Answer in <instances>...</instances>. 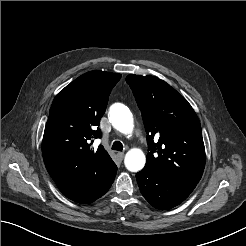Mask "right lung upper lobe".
<instances>
[{
	"mask_svg": "<svg viewBox=\"0 0 246 246\" xmlns=\"http://www.w3.org/2000/svg\"><path fill=\"white\" fill-rule=\"evenodd\" d=\"M120 78L116 73L90 71L55 97L44 131L42 154L56 184L117 167L102 145L91 150L90 141L101 137V130L96 127Z\"/></svg>",
	"mask_w": 246,
	"mask_h": 246,
	"instance_id": "right-lung-upper-lobe-1",
	"label": "right lung upper lobe"
}]
</instances>
